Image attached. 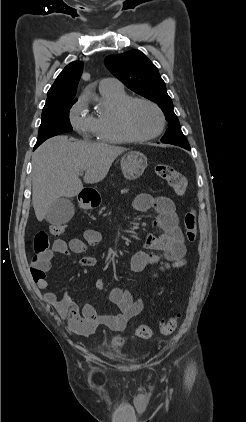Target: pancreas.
Listing matches in <instances>:
<instances>
[{"mask_svg": "<svg viewBox=\"0 0 246 422\" xmlns=\"http://www.w3.org/2000/svg\"><path fill=\"white\" fill-rule=\"evenodd\" d=\"M124 193L128 192V189L123 190ZM105 207H103L101 210H104Z\"/></svg>", "mask_w": 246, "mask_h": 422, "instance_id": "cf45deb5", "label": "pancreas"}]
</instances>
